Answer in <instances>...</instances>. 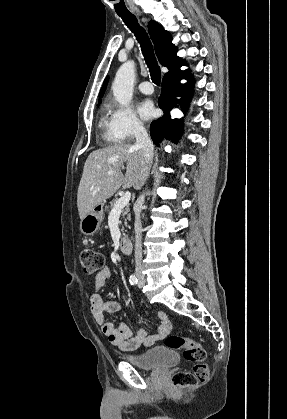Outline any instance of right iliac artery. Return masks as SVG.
Masks as SVG:
<instances>
[{"label":"right iliac artery","instance_id":"obj_1","mask_svg":"<svg viewBox=\"0 0 287 419\" xmlns=\"http://www.w3.org/2000/svg\"><path fill=\"white\" fill-rule=\"evenodd\" d=\"M129 281L131 285H136L138 283V279L134 274L130 276Z\"/></svg>","mask_w":287,"mask_h":419}]
</instances>
